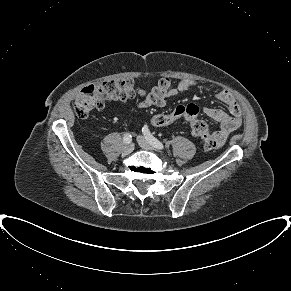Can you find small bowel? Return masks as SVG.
Here are the masks:
<instances>
[{"label": "small bowel", "instance_id": "small-bowel-1", "mask_svg": "<svg viewBox=\"0 0 291 291\" xmlns=\"http://www.w3.org/2000/svg\"><path fill=\"white\" fill-rule=\"evenodd\" d=\"M195 86L192 80H181L173 87L168 78H162L152 87L151 92L142 100L135 103L138 108H149L151 106L164 107L168 99L187 91ZM216 98L228 108V113L217 108L204 107L203 112L219 124V129L214 132L219 143H224L228 136L237 130L242 124L241 109L234 97L225 90L216 93Z\"/></svg>", "mask_w": 291, "mask_h": 291}]
</instances>
